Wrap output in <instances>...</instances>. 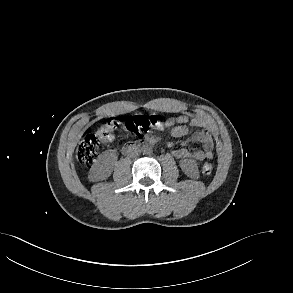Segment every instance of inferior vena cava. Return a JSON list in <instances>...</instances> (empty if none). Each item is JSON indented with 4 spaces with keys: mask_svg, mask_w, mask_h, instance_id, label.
Listing matches in <instances>:
<instances>
[{
    "mask_svg": "<svg viewBox=\"0 0 293 293\" xmlns=\"http://www.w3.org/2000/svg\"><path fill=\"white\" fill-rule=\"evenodd\" d=\"M140 152H141V150H140L139 148H137V147H133V148L129 149L127 155H128V157H130V158H134V157L139 156Z\"/></svg>",
    "mask_w": 293,
    "mask_h": 293,
    "instance_id": "1",
    "label": "inferior vena cava"
}]
</instances>
